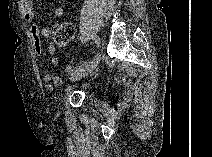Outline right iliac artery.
Returning a JSON list of instances; mask_svg holds the SVG:
<instances>
[{"mask_svg":"<svg viewBox=\"0 0 212 157\" xmlns=\"http://www.w3.org/2000/svg\"><path fill=\"white\" fill-rule=\"evenodd\" d=\"M92 40L94 41V43L96 44V46L97 47H99V45H100V39L97 37V36H92ZM89 63H91V62H89ZM87 65H88V63H87ZM86 65V66H87ZM84 68V65L83 66H79L78 68H76L75 70H74V74H76V73H78L79 71H81L82 69Z\"/></svg>","mask_w":212,"mask_h":157,"instance_id":"obj_1","label":"right iliac artery"}]
</instances>
